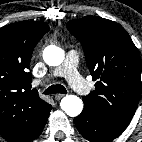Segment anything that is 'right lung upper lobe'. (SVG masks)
<instances>
[{
    "mask_svg": "<svg viewBox=\"0 0 142 142\" xmlns=\"http://www.w3.org/2000/svg\"><path fill=\"white\" fill-rule=\"evenodd\" d=\"M39 21L0 28V135L9 142H29L47 120L51 105L31 89L32 52L49 31Z\"/></svg>",
    "mask_w": 142,
    "mask_h": 142,
    "instance_id": "cb5924a9",
    "label": "right lung upper lobe"
}]
</instances>
